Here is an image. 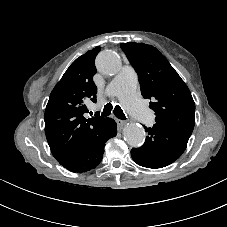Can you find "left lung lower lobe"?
I'll use <instances>...</instances> for the list:
<instances>
[{
  "label": "left lung lower lobe",
  "instance_id": "obj_1",
  "mask_svg": "<svg viewBox=\"0 0 227 227\" xmlns=\"http://www.w3.org/2000/svg\"><path fill=\"white\" fill-rule=\"evenodd\" d=\"M146 132L145 143L131 150L135 163L146 168L170 165L182 155L189 140V136L160 124L146 128Z\"/></svg>",
  "mask_w": 227,
  "mask_h": 227
}]
</instances>
